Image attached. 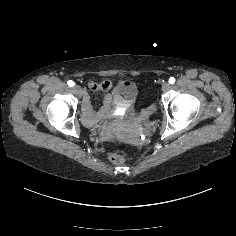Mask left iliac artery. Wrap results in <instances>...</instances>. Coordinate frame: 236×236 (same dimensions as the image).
Returning <instances> with one entry per match:
<instances>
[{"label":"left iliac artery","mask_w":236,"mask_h":236,"mask_svg":"<svg viewBox=\"0 0 236 236\" xmlns=\"http://www.w3.org/2000/svg\"><path fill=\"white\" fill-rule=\"evenodd\" d=\"M169 83H170V84H174V83H175V78H174V77H171V78L169 79Z\"/></svg>","instance_id":"1"}]
</instances>
